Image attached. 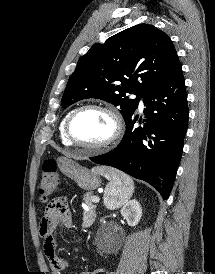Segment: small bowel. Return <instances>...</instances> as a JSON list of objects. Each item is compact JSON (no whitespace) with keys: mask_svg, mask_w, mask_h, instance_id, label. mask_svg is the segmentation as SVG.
Masks as SVG:
<instances>
[{"mask_svg":"<svg viewBox=\"0 0 215 274\" xmlns=\"http://www.w3.org/2000/svg\"><path fill=\"white\" fill-rule=\"evenodd\" d=\"M60 226L66 229L75 228L71 211L64 198H56L47 205L40 223V235L43 238L44 252L51 266L52 274H61L69 266L68 261L60 257L56 252L57 241L55 233ZM102 272H104V269L99 268L80 274H99Z\"/></svg>","mask_w":215,"mask_h":274,"instance_id":"1","label":"small bowel"}]
</instances>
